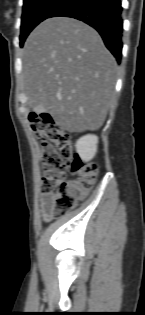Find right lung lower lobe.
I'll list each match as a JSON object with an SVG mask.
<instances>
[{
	"instance_id": "obj_1",
	"label": "right lung lower lobe",
	"mask_w": 145,
	"mask_h": 315,
	"mask_svg": "<svg viewBox=\"0 0 145 315\" xmlns=\"http://www.w3.org/2000/svg\"><path fill=\"white\" fill-rule=\"evenodd\" d=\"M121 0H65L50 17H71L95 28L120 63L123 19Z\"/></svg>"
}]
</instances>
